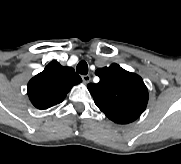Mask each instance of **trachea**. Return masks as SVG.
I'll use <instances>...</instances> for the list:
<instances>
[{
	"mask_svg": "<svg viewBox=\"0 0 181 164\" xmlns=\"http://www.w3.org/2000/svg\"><path fill=\"white\" fill-rule=\"evenodd\" d=\"M76 71L79 73V74H82V75H87L88 73V65L85 61H80L76 67Z\"/></svg>",
	"mask_w": 181,
	"mask_h": 164,
	"instance_id": "3493384b",
	"label": "trachea"
}]
</instances>
